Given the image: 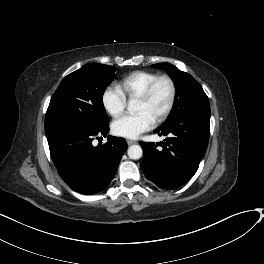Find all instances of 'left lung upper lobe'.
Returning <instances> with one entry per match:
<instances>
[{
	"mask_svg": "<svg viewBox=\"0 0 264 264\" xmlns=\"http://www.w3.org/2000/svg\"><path fill=\"white\" fill-rule=\"evenodd\" d=\"M152 67L165 69L176 87L173 111L162 125L174 121L191 109L209 107L207 95L190 74L180 71L170 63L154 64Z\"/></svg>",
	"mask_w": 264,
	"mask_h": 264,
	"instance_id": "obj_1",
	"label": "left lung upper lobe"
}]
</instances>
